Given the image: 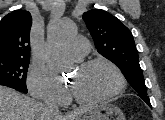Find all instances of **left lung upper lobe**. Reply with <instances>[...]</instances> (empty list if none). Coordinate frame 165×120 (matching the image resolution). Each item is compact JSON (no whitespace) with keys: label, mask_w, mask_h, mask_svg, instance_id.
<instances>
[{"label":"left lung upper lobe","mask_w":165,"mask_h":120,"mask_svg":"<svg viewBox=\"0 0 165 120\" xmlns=\"http://www.w3.org/2000/svg\"><path fill=\"white\" fill-rule=\"evenodd\" d=\"M83 20L97 51L120 68L126 80L138 92V96L151 106L130 30L115 16L101 9L85 12Z\"/></svg>","instance_id":"obj_1"}]
</instances>
